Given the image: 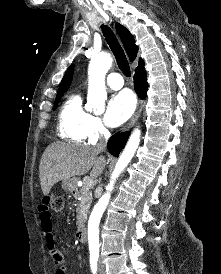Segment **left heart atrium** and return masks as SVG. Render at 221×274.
<instances>
[{
    "instance_id": "1",
    "label": "left heart atrium",
    "mask_w": 221,
    "mask_h": 274,
    "mask_svg": "<svg viewBox=\"0 0 221 274\" xmlns=\"http://www.w3.org/2000/svg\"><path fill=\"white\" fill-rule=\"evenodd\" d=\"M135 109V99L128 91L114 95L108 102L105 121L111 127L123 124L132 115Z\"/></svg>"
}]
</instances>
